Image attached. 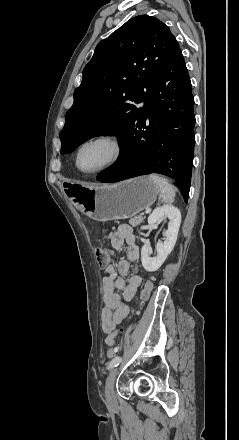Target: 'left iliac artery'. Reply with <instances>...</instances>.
Instances as JSON below:
<instances>
[{"instance_id": "1", "label": "left iliac artery", "mask_w": 239, "mask_h": 440, "mask_svg": "<svg viewBox=\"0 0 239 440\" xmlns=\"http://www.w3.org/2000/svg\"><path fill=\"white\" fill-rule=\"evenodd\" d=\"M121 361L122 358L120 356L113 358L108 365V369H112L113 367L118 366Z\"/></svg>"}]
</instances>
